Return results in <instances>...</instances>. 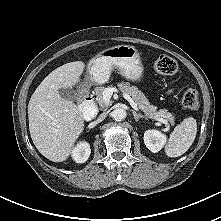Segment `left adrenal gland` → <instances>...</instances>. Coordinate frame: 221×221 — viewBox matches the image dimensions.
Listing matches in <instances>:
<instances>
[{"instance_id":"obj_1","label":"left adrenal gland","mask_w":221,"mask_h":221,"mask_svg":"<svg viewBox=\"0 0 221 221\" xmlns=\"http://www.w3.org/2000/svg\"><path fill=\"white\" fill-rule=\"evenodd\" d=\"M133 116H134V119H135L136 122H138L140 118L147 119L144 115L138 114V113H136L134 111H133Z\"/></svg>"}]
</instances>
